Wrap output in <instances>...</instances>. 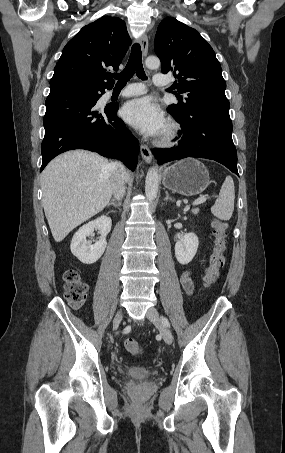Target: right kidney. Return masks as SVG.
<instances>
[{
	"mask_svg": "<svg viewBox=\"0 0 285 453\" xmlns=\"http://www.w3.org/2000/svg\"><path fill=\"white\" fill-rule=\"evenodd\" d=\"M111 225V218L105 215L83 225L72 238L70 245L72 254L84 264L95 263L106 249V235L110 232ZM94 229L100 230L101 237L92 244L86 238L94 232Z\"/></svg>",
	"mask_w": 285,
	"mask_h": 453,
	"instance_id": "obj_1",
	"label": "right kidney"
}]
</instances>
